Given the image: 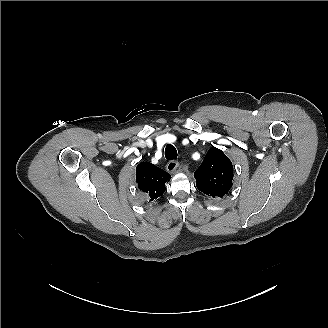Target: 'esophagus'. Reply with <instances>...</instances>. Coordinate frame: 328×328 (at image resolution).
<instances>
[{"instance_id": "esophagus-1", "label": "esophagus", "mask_w": 328, "mask_h": 328, "mask_svg": "<svg viewBox=\"0 0 328 328\" xmlns=\"http://www.w3.org/2000/svg\"><path fill=\"white\" fill-rule=\"evenodd\" d=\"M179 166V163L178 161L176 160H170L167 165H166V170L169 172V173H173Z\"/></svg>"}]
</instances>
